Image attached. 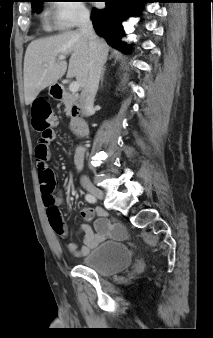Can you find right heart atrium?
<instances>
[{
    "label": "right heart atrium",
    "mask_w": 213,
    "mask_h": 338,
    "mask_svg": "<svg viewBox=\"0 0 213 338\" xmlns=\"http://www.w3.org/2000/svg\"><path fill=\"white\" fill-rule=\"evenodd\" d=\"M88 12L77 2H60L53 7L52 21L59 28H70L86 21Z\"/></svg>",
    "instance_id": "d8ad5b80"
}]
</instances>
